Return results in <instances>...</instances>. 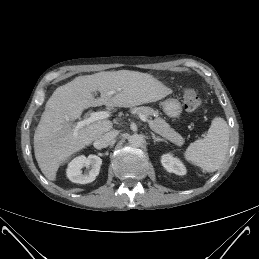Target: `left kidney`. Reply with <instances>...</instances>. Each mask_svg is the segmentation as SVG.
I'll list each match as a JSON object with an SVG mask.
<instances>
[{"mask_svg": "<svg viewBox=\"0 0 259 259\" xmlns=\"http://www.w3.org/2000/svg\"><path fill=\"white\" fill-rule=\"evenodd\" d=\"M162 166L170 173H175L177 175H185L186 168L183 163L174 158L171 154H164L161 157Z\"/></svg>", "mask_w": 259, "mask_h": 259, "instance_id": "5707ae66", "label": "left kidney"}]
</instances>
